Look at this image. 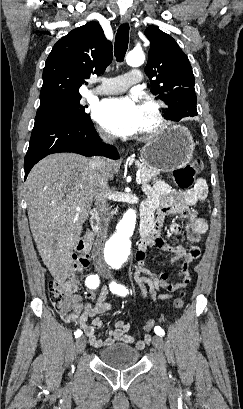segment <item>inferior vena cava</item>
<instances>
[{
    "label": "inferior vena cava",
    "mask_w": 243,
    "mask_h": 409,
    "mask_svg": "<svg viewBox=\"0 0 243 409\" xmlns=\"http://www.w3.org/2000/svg\"><path fill=\"white\" fill-rule=\"evenodd\" d=\"M103 141L111 143L113 137L101 133ZM90 183L94 192V201L99 216L100 236L96 239L93 247V258L100 269H106V263L103 257L104 244L107 239L108 231V178L104 170L103 160L100 157H92L89 161Z\"/></svg>",
    "instance_id": "602c4592"
}]
</instances>
